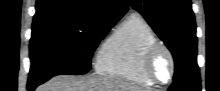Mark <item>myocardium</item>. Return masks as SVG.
Listing matches in <instances>:
<instances>
[{"instance_id":"1","label":"myocardium","mask_w":220,"mask_h":91,"mask_svg":"<svg viewBox=\"0 0 220 91\" xmlns=\"http://www.w3.org/2000/svg\"><path fill=\"white\" fill-rule=\"evenodd\" d=\"M160 52H164L168 56L170 62V74L166 81L160 80L154 72V61ZM141 68L144 75L153 83L159 85H167L173 80L175 75L176 64L174 55L166 45L156 42L151 45L143 54L141 60Z\"/></svg>"}]
</instances>
